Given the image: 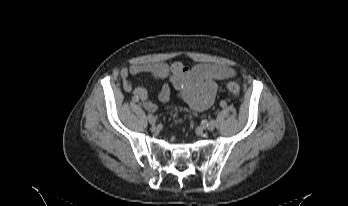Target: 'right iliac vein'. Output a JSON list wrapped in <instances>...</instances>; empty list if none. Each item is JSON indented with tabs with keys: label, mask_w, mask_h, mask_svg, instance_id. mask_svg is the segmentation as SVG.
<instances>
[{
	"label": "right iliac vein",
	"mask_w": 348,
	"mask_h": 206,
	"mask_svg": "<svg viewBox=\"0 0 348 206\" xmlns=\"http://www.w3.org/2000/svg\"><path fill=\"white\" fill-rule=\"evenodd\" d=\"M147 119H148V121H149V123L151 124V125H155L156 124V119H155V117L152 115V114H148L147 115Z\"/></svg>",
	"instance_id": "1"
}]
</instances>
